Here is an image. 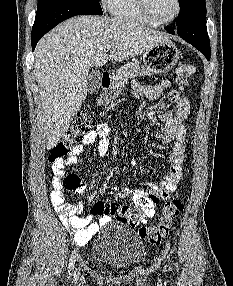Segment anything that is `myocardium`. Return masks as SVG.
<instances>
[{
	"mask_svg": "<svg viewBox=\"0 0 233 286\" xmlns=\"http://www.w3.org/2000/svg\"><path fill=\"white\" fill-rule=\"evenodd\" d=\"M137 5L139 10L141 11V13L143 14V16L152 24L155 26H165L168 24L173 23L180 15L181 12V3L180 0H175L176 3V11L175 14L168 20L166 21H156L154 20L148 10V4H147V0H136Z\"/></svg>",
	"mask_w": 233,
	"mask_h": 286,
	"instance_id": "f54148a6",
	"label": "myocardium"
}]
</instances>
